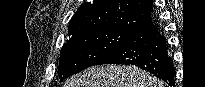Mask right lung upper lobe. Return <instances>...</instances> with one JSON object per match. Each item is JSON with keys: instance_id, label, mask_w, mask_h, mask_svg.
<instances>
[{"instance_id": "cb5924a9", "label": "right lung upper lobe", "mask_w": 205, "mask_h": 87, "mask_svg": "<svg viewBox=\"0 0 205 87\" xmlns=\"http://www.w3.org/2000/svg\"><path fill=\"white\" fill-rule=\"evenodd\" d=\"M152 13V0H94L78 8L70 20L68 35L96 30L133 33L153 21Z\"/></svg>"}]
</instances>
